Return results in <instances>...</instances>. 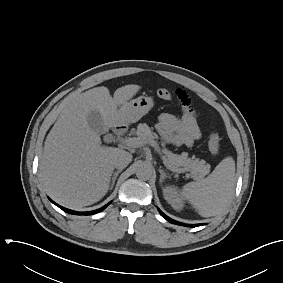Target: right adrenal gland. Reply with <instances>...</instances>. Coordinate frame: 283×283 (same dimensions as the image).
Here are the masks:
<instances>
[{
	"label": "right adrenal gland",
	"mask_w": 283,
	"mask_h": 283,
	"mask_svg": "<svg viewBox=\"0 0 283 283\" xmlns=\"http://www.w3.org/2000/svg\"><path fill=\"white\" fill-rule=\"evenodd\" d=\"M121 171H122V170H118V171H116V172L113 173L112 181H111L112 183H111V186H110V189H111V190L113 189V187H114V185H115V181H116L118 175L121 173Z\"/></svg>",
	"instance_id": "2a0ac1e0"
}]
</instances>
